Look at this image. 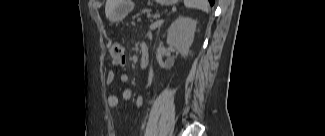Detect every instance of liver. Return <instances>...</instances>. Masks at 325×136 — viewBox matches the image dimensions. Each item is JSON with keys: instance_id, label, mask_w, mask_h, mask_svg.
<instances>
[{"instance_id": "liver-1", "label": "liver", "mask_w": 325, "mask_h": 136, "mask_svg": "<svg viewBox=\"0 0 325 136\" xmlns=\"http://www.w3.org/2000/svg\"><path fill=\"white\" fill-rule=\"evenodd\" d=\"M119 3V0H106V5H105V14L106 17L111 20V15L115 9V7L117 6V4Z\"/></svg>"}]
</instances>
